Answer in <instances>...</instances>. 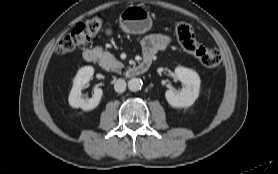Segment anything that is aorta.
Wrapping results in <instances>:
<instances>
[{"mask_svg":"<svg viewBox=\"0 0 278 174\" xmlns=\"http://www.w3.org/2000/svg\"><path fill=\"white\" fill-rule=\"evenodd\" d=\"M143 85L142 80L138 79V78H132L128 81V88L130 91L136 92L141 90Z\"/></svg>","mask_w":278,"mask_h":174,"instance_id":"1","label":"aorta"}]
</instances>
